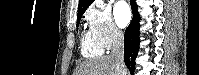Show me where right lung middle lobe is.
Instances as JSON below:
<instances>
[{"label":"right lung middle lobe","mask_w":199,"mask_h":75,"mask_svg":"<svg viewBox=\"0 0 199 75\" xmlns=\"http://www.w3.org/2000/svg\"><path fill=\"white\" fill-rule=\"evenodd\" d=\"M81 17H82V16H78V17H77V27H78V25H79V22H80V20H81Z\"/></svg>","instance_id":"1"}]
</instances>
